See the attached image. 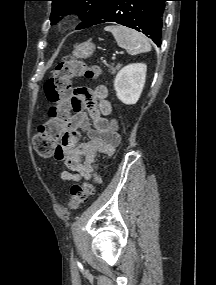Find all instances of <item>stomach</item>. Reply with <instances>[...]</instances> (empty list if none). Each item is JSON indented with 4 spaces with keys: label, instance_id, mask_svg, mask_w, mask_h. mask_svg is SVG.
<instances>
[{
    "label": "stomach",
    "instance_id": "1",
    "mask_svg": "<svg viewBox=\"0 0 216 285\" xmlns=\"http://www.w3.org/2000/svg\"><path fill=\"white\" fill-rule=\"evenodd\" d=\"M95 51V45L89 40L76 46L73 51V58L86 59Z\"/></svg>",
    "mask_w": 216,
    "mask_h": 285
}]
</instances>
